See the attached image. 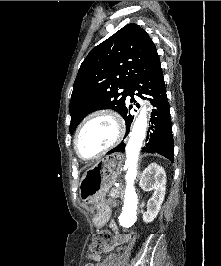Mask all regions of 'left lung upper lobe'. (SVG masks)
<instances>
[{"label": "left lung upper lobe", "instance_id": "obj_1", "mask_svg": "<svg viewBox=\"0 0 221 266\" xmlns=\"http://www.w3.org/2000/svg\"><path fill=\"white\" fill-rule=\"evenodd\" d=\"M158 64L160 58L153 41L134 23L93 48L82 62L73 85L70 133L96 110L113 109L122 116L132 83Z\"/></svg>", "mask_w": 221, "mask_h": 266}]
</instances>
